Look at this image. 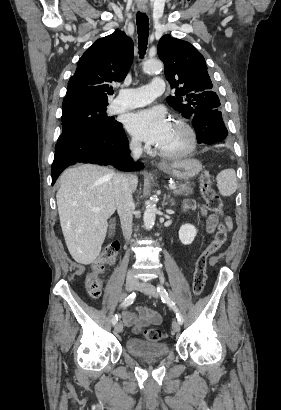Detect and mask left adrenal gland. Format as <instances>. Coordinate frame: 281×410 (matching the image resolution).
Returning a JSON list of instances; mask_svg holds the SVG:
<instances>
[{"instance_id":"obj_1","label":"left adrenal gland","mask_w":281,"mask_h":410,"mask_svg":"<svg viewBox=\"0 0 281 410\" xmlns=\"http://www.w3.org/2000/svg\"><path fill=\"white\" fill-rule=\"evenodd\" d=\"M167 198H170V195H168ZM174 205H175V202L173 200H171V206H174Z\"/></svg>"}]
</instances>
